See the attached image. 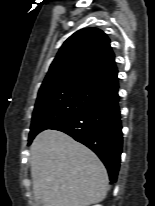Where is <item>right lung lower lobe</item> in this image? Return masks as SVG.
<instances>
[{
	"label": "right lung lower lobe",
	"mask_w": 155,
	"mask_h": 206,
	"mask_svg": "<svg viewBox=\"0 0 155 206\" xmlns=\"http://www.w3.org/2000/svg\"><path fill=\"white\" fill-rule=\"evenodd\" d=\"M118 87L73 117L51 129L67 133L94 151L116 182L122 153V124Z\"/></svg>",
	"instance_id": "1"
}]
</instances>
